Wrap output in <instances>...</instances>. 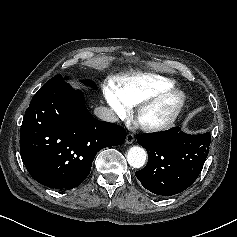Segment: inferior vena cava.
<instances>
[{
    "label": "inferior vena cava",
    "mask_w": 237,
    "mask_h": 237,
    "mask_svg": "<svg viewBox=\"0 0 237 237\" xmlns=\"http://www.w3.org/2000/svg\"><path fill=\"white\" fill-rule=\"evenodd\" d=\"M94 114L101 120L106 122H116L118 120L114 111L110 108L100 106L95 108Z\"/></svg>",
    "instance_id": "obj_1"
}]
</instances>
